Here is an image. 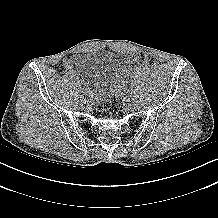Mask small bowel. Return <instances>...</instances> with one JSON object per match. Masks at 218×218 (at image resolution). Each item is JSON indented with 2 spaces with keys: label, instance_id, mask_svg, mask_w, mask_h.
Instances as JSON below:
<instances>
[{
  "label": "small bowel",
  "instance_id": "1",
  "mask_svg": "<svg viewBox=\"0 0 218 218\" xmlns=\"http://www.w3.org/2000/svg\"><path fill=\"white\" fill-rule=\"evenodd\" d=\"M72 58H67L63 62V67L69 72L72 73Z\"/></svg>",
  "mask_w": 218,
  "mask_h": 218
}]
</instances>
